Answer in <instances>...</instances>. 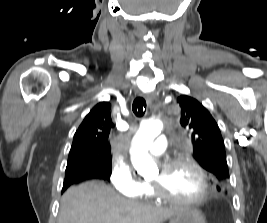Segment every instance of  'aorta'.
Segmentation results:
<instances>
[{
	"label": "aorta",
	"instance_id": "1",
	"mask_svg": "<svg viewBox=\"0 0 267 223\" xmlns=\"http://www.w3.org/2000/svg\"><path fill=\"white\" fill-rule=\"evenodd\" d=\"M160 121H148L142 124L133 138L130 150L131 161L138 174L146 177L157 172L158 168L148 154L153 140L161 133Z\"/></svg>",
	"mask_w": 267,
	"mask_h": 223
}]
</instances>
